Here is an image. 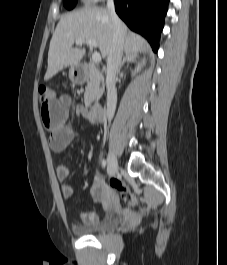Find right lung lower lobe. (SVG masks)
<instances>
[{"label":"right lung lower lobe","instance_id":"1","mask_svg":"<svg viewBox=\"0 0 227 265\" xmlns=\"http://www.w3.org/2000/svg\"><path fill=\"white\" fill-rule=\"evenodd\" d=\"M115 10L128 27L143 35L157 51L169 0H114Z\"/></svg>","mask_w":227,"mask_h":265}]
</instances>
